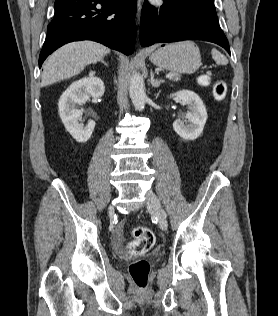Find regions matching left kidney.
I'll return each instance as SVG.
<instances>
[{
  "instance_id": "1",
  "label": "left kidney",
  "mask_w": 278,
  "mask_h": 316,
  "mask_svg": "<svg viewBox=\"0 0 278 316\" xmlns=\"http://www.w3.org/2000/svg\"><path fill=\"white\" fill-rule=\"evenodd\" d=\"M177 97L183 105H187L190 112L186 114L189 124L178 119L173 123L175 132L186 140H194L203 132L204 125L207 120V111L200 97L190 90H182L171 94L170 97Z\"/></svg>"
}]
</instances>
